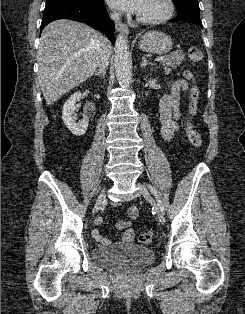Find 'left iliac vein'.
<instances>
[{"instance_id":"1","label":"left iliac vein","mask_w":245,"mask_h":314,"mask_svg":"<svg viewBox=\"0 0 245 314\" xmlns=\"http://www.w3.org/2000/svg\"><path fill=\"white\" fill-rule=\"evenodd\" d=\"M137 186H138V189H139V192L143 195V197L149 202L151 203L152 205H154L155 207V210L157 212V217H158V220L164 224L165 223V217H164V213L161 211L160 207L158 205L155 204L151 194L149 193V191L147 190V188L141 184V183H137Z\"/></svg>"}]
</instances>
